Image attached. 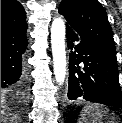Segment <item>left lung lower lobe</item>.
<instances>
[{
    "label": "left lung lower lobe",
    "instance_id": "left-lung-lower-lobe-1",
    "mask_svg": "<svg viewBox=\"0 0 122 123\" xmlns=\"http://www.w3.org/2000/svg\"><path fill=\"white\" fill-rule=\"evenodd\" d=\"M69 55L68 100L84 99L122 108L116 51L66 27ZM75 41H80L75 47ZM82 64V65H81Z\"/></svg>",
    "mask_w": 122,
    "mask_h": 123
}]
</instances>
